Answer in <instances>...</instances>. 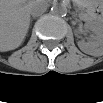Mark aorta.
<instances>
[{"mask_svg": "<svg viewBox=\"0 0 103 103\" xmlns=\"http://www.w3.org/2000/svg\"><path fill=\"white\" fill-rule=\"evenodd\" d=\"M67 11L68 9L66 5L61 2L55 3L51 8V12L55 16H65L67 14Z\"/></svg>", "mask_w": 103, "mask_h": 103, "instance_id": "762f6f07", "label": "aorta"}]
</instances>
